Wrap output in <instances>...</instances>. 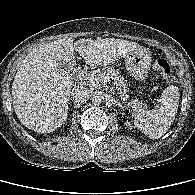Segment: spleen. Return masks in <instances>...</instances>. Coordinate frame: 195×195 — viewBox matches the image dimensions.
<instances>
[{
	"instance_id": "obj_1",
	"label": "spleen",
	"mask_w": 195,
	"mask_h": 195,
	"mask_svg": "<svg viewBox=\"0 0 195 195\" xmlns=\"http://www.w3.org/2000/svg\"><path fill=\"white\" fill-rule=\"evenodd\" d=\"M180 93L178 87H167L160 99V105L151 111L139 110L134 117L135 126L152 139L162 137L172 125L178 110Z\"/></svg>"
}]
</instances>
